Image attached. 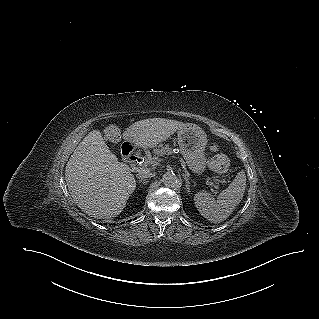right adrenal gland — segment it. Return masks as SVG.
Masks as SVG:
<instances>
[{"label":"right adrenal gland","mask_w":319,"mask_h":319,"mask_svg":"<svg viewBox=\"0 0 319 319\" xmlns=\"http://www.w3.org/2000/svg\"><path fill=\"white\" fill-rule=\"evenodd\" d=\"M148 181H146L145 179H141V180H139V183H147Z\"/></svg>","instance_id":"obj_1"}]
</instances>
